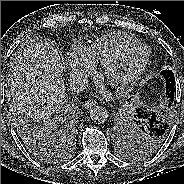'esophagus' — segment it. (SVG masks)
Listing matches in <instances>:
<instances>
[{"instance_id":"obj_1","label":"esophagus","mask_w":184,"mask_h":184,"mask_svg":"<svg viewBox=\"0 0 184 184\" xmlns=\"http://www.w3.org/2000/svg\"><path fill=\"white\" fill-rule=\"evenodd\" d=\"M96 104H97L96 101H94V100H88V101H86V102L84 103L83 107H84L85 109H88V108H91L92 106H94V105H96Z\"/></svg>"}]
</instances>
